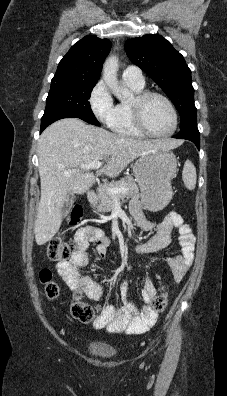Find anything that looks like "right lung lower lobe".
Returning a JSON list of instances; mask_svg holds the SVG:
<instances>
[{
  "label": "right lung lower lobe",
  "mask_w": 227,
  "mask_h": 396,
  "mask_svg": "<svg viewBox=\"0 0 227 396\" xmlns=\"http://www.w3.org/2000/svg\"><path fill=\"white\" fill-rule=\"evenodd\" d=\"M62 118H79L75 114L69 113V112H58L54 114H50L47 116H43L41 120V128L40 132H42L48 125L51 123L62 119Z\"/></svg>",
  "instance_id": "1"
}]
</instances>
